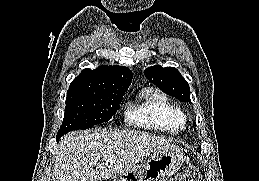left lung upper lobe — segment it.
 <instances>
[{
	"label": "left lung upper lobe",
	"mask_w": 259,
	"mask_h": 181,
	"mask_svg": "<svg viewBox=\"0 0 259 181\" xmlns=\"http://www.w3.org/2000/svg\"><path fill=\"white\" fill-rule=\"evenodd\" d=\"M145 76L168 95L178 98L181 102L191 101L189 84L176 68L155 65L145 69Z\"/></svg>",
	"instance_id": "5c2ea615"
}]
</instances>
